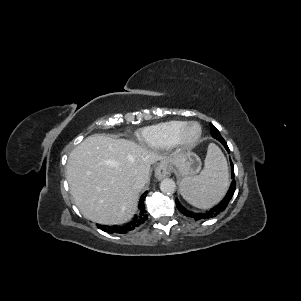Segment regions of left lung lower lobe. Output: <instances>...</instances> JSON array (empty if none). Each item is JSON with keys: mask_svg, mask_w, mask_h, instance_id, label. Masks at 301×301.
I'll return each instance as SVG.
<instances>
[{"mask_svg": "<svg viewBox=\"0 0 301 301\" xmlns=\"http://www.w3.org/2000/svg\"><path fill=\"white\" fill-rule=\"evenodd\" d=\"M212 137H214L215 139H217L218 141H220L223 146L225 147V149L229 151V148L227 146V143L225 142V140L221 137L220 133L211 132ZM231 162V173H232V182L231 185L228 189L227 194L225 195V197L222 199V201L219 202V204H217L216 206H214L213 208H211L210 210H207L205 212H201V213H196V212H192L190 210H187L186 208H184L178 201V199L175 200L176 202V206L179 209L180 212H182L184 215H186L187 217H190L192 219L195 220H203V219H210L213 218L215 216H217L220 212H222L224 209H226L227 205L229 204L235 189H236V182L234 180V166L233 163L230 159Z\"/></svg>", "mask_w": 301, "mask_h": 301, "instance_id": "left-lung-lower-lobe-1", "label": "left lung lower lobe"}]
</instances>
